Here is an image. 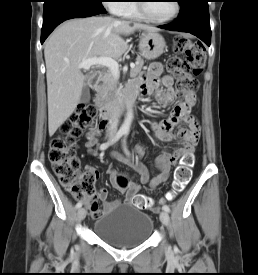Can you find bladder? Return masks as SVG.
<instances>
[{"label":"bladder","instance_id":"1","mask_svg":"<svg viewBox=\"0 0 258 275\" xmlns=\"http://www.w3.org/2000/svg\"><path fill=\"white\" fill-rule=\"evenodd\" d=\"M153 229L151 216L130 204L100 216L93 225L97 237L118 248H132L145 243Z\"/></svg>","mask_w":258,"mask_h":275}]
</instances>
